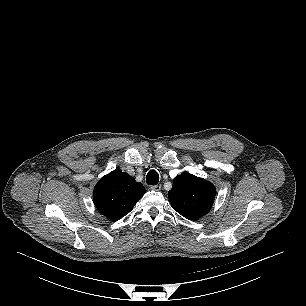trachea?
<instances>
[{
	"label": "trachea",
	"instance_id": "trachea-1",
	"mask_svg": "<svg viewBox=\"0 0 306 306\" xmlns=\"http://www.w3.org/2000/svg\"><path fill=\"white\" fill-rule=\"evenodd\" d=\"M148 185H157L159 182V175L155 170H150L146 176Z\"/></svg>",
	"mask_w": 306,
	"mask_h": 306
}]
</instances>
